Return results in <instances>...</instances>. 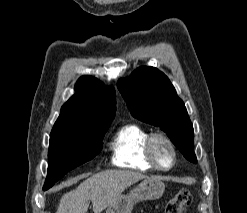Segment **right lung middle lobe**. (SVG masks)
I'll list each match as a JSON object with an SVG mask.
<instances>
[{
	"label": "right lung middle lobe",
	"mask_w": 247,
	"mask_h": 213,
	"mask_svg": "<svg viewBox=\"0 0 247 213\" xmlns=\"http://www.w3.org/2000/svg\"><path fill=\"white\" fill-rule=\"evenodd\" d=\"M110 124L92 130H52L48 151L47 190L75 167L93 159L102 149Z\"/></svg>",
	"instance_id": "obj_1"
}]
</instances>
